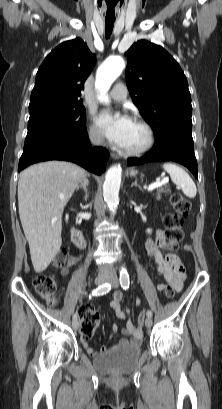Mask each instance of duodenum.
Returning a JSON list of instances; mask_svg holds the SVG:
<instances>
[{
  "label": "duodenum",
  "instance_id": "1",
  "mask_svg": "<svg viewBox=\"0 0 222 409\" xmlns=\"http://www.w3.org/2000/svg\"><path fill=\"white\" fill-rule=\"evenodd\" d=\"M70 238L72 242L79 248H84L86 245L85 238L83 235V232L80 230V228L73 226L70 229Z\"/></svg>",
  "mask_w": 222,
  "mask_h": 409
}]
</instances>
